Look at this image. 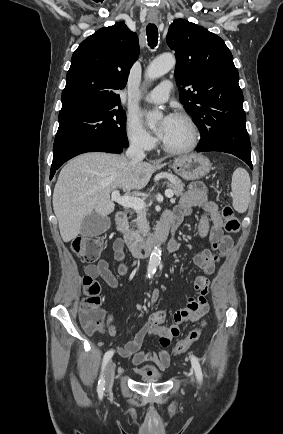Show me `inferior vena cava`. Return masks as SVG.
I'll return each mask as SVG.
<instances>
[{
    "mask_svg": "<svg viewBox=\"0 0 283 434\" xmlns=\"http://www.w3.org/2000/svg\"><path fill=\"white\" fill-rule=\"evenodd\" d=\"M126 156L131 159L132 162H139L145 158V152L139 143H131L126 151Z\"/></svg>",
    "mask_w": 283,
    "mask_h": 434,
    "instance_id": "1",
    "label": "inferior vena cava"
}]
</instances>
